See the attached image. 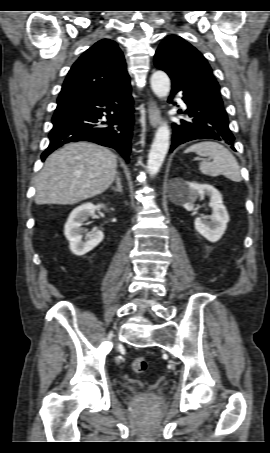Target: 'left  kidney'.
<instances>
[{
	"label": "left kidney",
	"mask_w": 270,
	"mask_h": 453,
	"mask_svg": "<svg viewBox=\"0 0 270 453\" xmlns=\"http://www.w3.org/2000/svg\"><path fill=\"white\" fill-rule=\"evenodd\" d=\"M205 195L210 196L209 206L212 208V214L208 218L197 217L194 226L204 238L216 242L223 236L230 220L220 192L209 184L185 182L180 202L187 211H195V201Z\"/></svg>",
	"instance_id": "5707ae66"
}]
</instances>
